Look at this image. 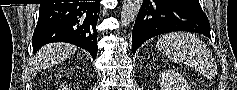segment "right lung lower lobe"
<instances>
[{"label": "right lung lower lobe", "instance_id": "1", "mask_svg": "<svg viewBox=\"0 0 237 90\" xmlns=\"http://www.w3.org/2000/svg\"><path fill=\"white\" fill-rule=\"evenodd\" d=\"M100 1L41 4L32 37L33 53L52 42H67L97 55L96 24Z\"/></svg>", "mask_w": 237, "mask_h": 90}]
</instances>
